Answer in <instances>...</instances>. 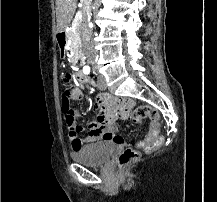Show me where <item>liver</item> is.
<instances>
[{"label": "liver", "instance_id": "liver-1", "mask_svg": "<svg viewBox=\"0 0 217 202\" xmlns=\"http://www.w3.org/2000/svg\"><path fill=\"white\" fill-rule=\"evenodd\" d=\"M77 0H56L57 34L69 26L76 10Z\"/></svg>", "mask_w": 217, "mask_h": 202}]
</instances>
